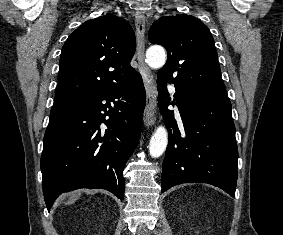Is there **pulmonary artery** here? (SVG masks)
Segmentation results:
<instances>
[{
    "label": "pulmonary artery",
    "mask_w": 283,
    "mask_h": 235,
    "mask_svg": "<svg viewBox=\"0 0 283 235\" xmlns=\"http://www.w3.org/2000/svg\"><path fill=\"white\" fill-rule=\"evenodd\" d=\"M170 91H171V92H174V91H175V88H174L173 85L170 86Z\"/></svg>",
    "instance_id": "1"
}]
</instances>
